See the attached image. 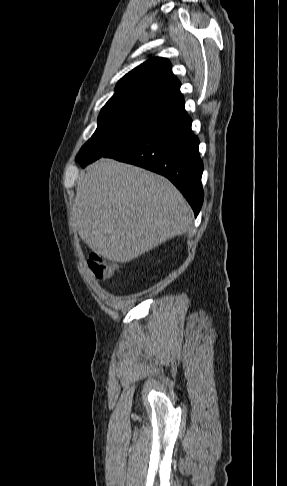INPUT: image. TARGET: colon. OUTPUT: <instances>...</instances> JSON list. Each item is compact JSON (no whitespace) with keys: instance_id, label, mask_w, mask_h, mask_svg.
Listing matches in <instances>:
<instances>
[{"instance_id":"5ec220e1","label":"colon","mask_w":287,"mask_h":486,"mask_svg":"<svg viewBox=\"0 0 287 486\" xmlns=\"http://www.w3.org/2000/svg\"><path fill=\"white\" fill-rule=\"evenodd\" d=\"M88 264L96 278L100 280L109 279L118 267L117 263L107 261L96 253L90 254Z\"/></svg>"}]
</instances>
